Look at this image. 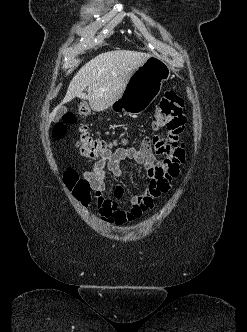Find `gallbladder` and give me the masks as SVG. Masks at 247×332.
I'll list each match as a JSON object with an SVG mask.
<instances>
[{"label":"gallbladder","mask_w":247,"mask_h":332,"mask_svg":"<svg viewBox=\"0 0 247 332\" xmlns=\"http://www.w3.org/2000/svg\"><path fill=\"white\" fill-rule=\"evenodd\" d=\"M67 112V108L66 107H61L58 109L57 113H56V119H59L62 115H64Z\"/></svg>","instance_id":"1"}]
</instances>
